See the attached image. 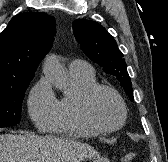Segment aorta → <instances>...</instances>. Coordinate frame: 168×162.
Returning <instances> with one entry per match:
<instances>
[{"label": "aorta", "instance_id": "obj_1", "mask_svg": "<svg viewBox=\"0 0 168 162\" xmlns=\"http://www.w3.org/2000/svg\"><path fill=\"white\" fill-rule=\"evenodd\" d=\"M43 71L45 76L52 81L55 87L61 90L67 88L68 74L55 55L47 56Z\"/></svg>", "mask_w": 168, "mask_h": 162}]
</instances>
